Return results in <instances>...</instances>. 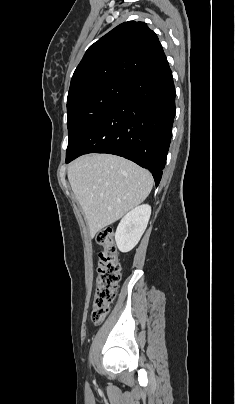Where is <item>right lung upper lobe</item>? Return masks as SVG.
<instances>
[{
	"instance_id": "obj_1",
	"label": "right lung upper lobe",
	"mask_w": 235,
	"mask_h": 404,
	"mask_svg": "<svg viewBox=\"0 0 235 404\" xmlns=\"http://www.w3.org/2000/svg\"><path fill=\"white\" fill-rule=\"evenodd\" d=\"M165 60L157 35L145 23H122L88 48L72 76L68 99L97 84L126 83Z\"/></svg>"
}]
</instances>
